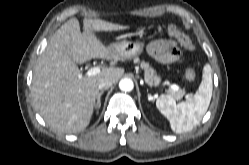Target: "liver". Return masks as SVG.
I'll use <instances>...</instances> for the list:
<instances>
[{
    "label": "liver",
    "mask_w": 249,
    "mask_h": 165,
    "mask_svg": "<svg viewBox=\"0 0 249 165\" xmlns=\"http://www.w3.org/2000/svg\"><path fill=\"white\" fill-rule=\"evenodd\" d=\"M83 29L81 34L77 18L64 23L51 37L34 68L31 85L34 107L50 127L60 132L84 130L93 115L99 82L109 79L114 84L124 74L123 68L111 67L95 76H82L77 64L96 58H127L111 52L94 34L127 27L85 18Z\"/></svg>",
    "instance_id": "obj_1"
}]
</instances>
